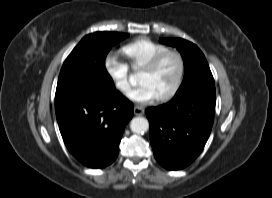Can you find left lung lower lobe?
Wrapping results in <instances>:
<instances>
[{"label": "left lung lower lobe", "mask_w": 272, "mask_h": 198, "mask_svg": "<svg viewBox=\"0 0 272 198\" xmlns=\"http://www.w3.org/2000/svg\"><path fill=\"white\" fill-rule=\"evenodd\" d=\"M215 104V86H202L146 109L151 145L161 166L180 170L197 158L210 135Z\"/></svg>", "instance_id": "0a47b994"}]
</instances>
